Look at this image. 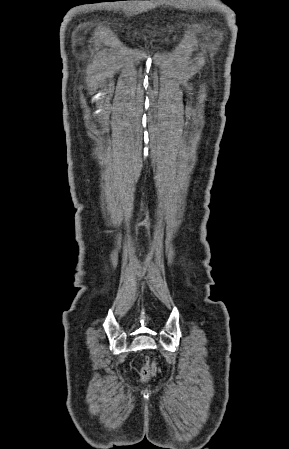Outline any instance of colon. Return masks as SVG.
<instances>
[{
  "mask_svg": "<svg viewBox=\"0 0 289 449\" xmlns=\"http://www.w3.org/2000/svg\"><path fill=\"white\" fill-rule=\"evenodd\" d=\"M157 373V365L154 361H148L141 372V377L143 380H148L149 378L155 376Z\"/></svg>",
  "mask_w": 289,
  "mask_h": 449,
  "instance_id": "colon-1",
  "label": "colon"
}]
</instances>
